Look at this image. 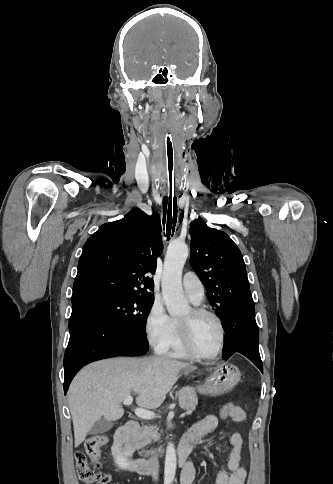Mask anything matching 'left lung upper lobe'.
Wrapping results in <instances>:
<instances>
[{
	"label": "left lung upper lobe",
	"mask_w": 333,
	"mask_h": 484,
	"mask_svg": "<svg viewBox=\"0 0 333 484\" xmlns=\"http://www.w3.org/2000/svg\"><path fill=\"white\" fill-rule=\"evenodd\" d=\"M189 233L191 265L218 316L223 318L229 304L250 292L243 256L226 233L208 227L201 218L191 223Z\"/></svg>",
	"instance_id": "obj_1"
}]
</instances>
